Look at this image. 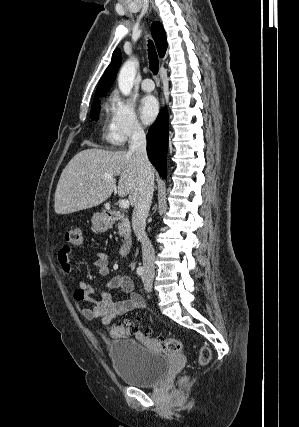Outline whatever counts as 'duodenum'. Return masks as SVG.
I'll use <instances>...</instances> for the list:
<instances>
[{
  "label": "duodenum",
  "instance_id": "duodenum-1",
  "mask_svg": "<svg viewBox=\"0 0 299 427\" xmlns=\"http://www.w3.org/2000/svg\"><path fill=\"white\" fill-rule=\"evenodd\" d=\"M118 216H119V213L117 211L109 210L106 212V217L109 223L115 221L118 218ZM131 251H132V241L127 239L122 243L120 247V255L122 257H127L130 255Z\"/></svg>",
  "mask_w": 299,
  "mask_h": 427
}]
</instances>
